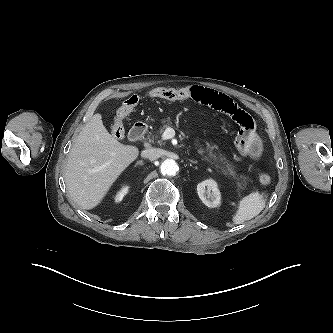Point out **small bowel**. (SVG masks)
Segmentation results:
<instances>
[{"instance_id":"c3829d8e","label":"small bowel","mask_w":333,"mask_h":333,"mask_svg":"<svg viewBox=\"0 0 333 333\" xmlns=\"http://www.w3.org/2000/svg\"><path fill=\"white\" fill-rule=\"evenodd\" d=\"M191 92L190 99L225 113L239 126L240 131L235 146L240 154L257 159L262 151V143L256 133L253 118L228 95L199 85L187 87Z\"/></svg>"}]
</instances>
